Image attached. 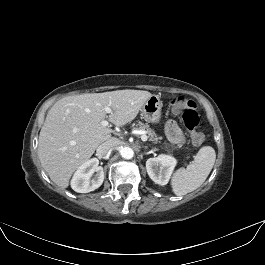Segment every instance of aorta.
I'll return each instance as SVG.
<instances>
[{
    "label": "aorta",
    "mask_w": 265,
    "mask_h": 265,
    "mask_svg": "<svg viewBox=\"0 0 265 265\" xmlns=\"http://www.w3.org/2000/svg\"><path fill=\"white\" fill-rule=\"evenodd\" d=\"M120 154L125 159H131L134 156V151L130 147H123L120 150Z\"/></svg>",
    "instance_id": "762f6f07"
}]
</instances>
